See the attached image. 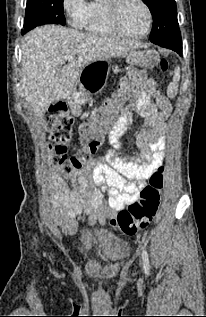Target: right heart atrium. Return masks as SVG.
Here are the masks:
<instances>
[{
    "instance_id": "1",
    "label": "right heart atrium",
    "mask_w": 206,
    "mask_h": 317,
    "mask_svg": "<svg viewBox=\"0 0 206 317\" xmlns=\"http://www.w3.org/2000/svg\"><path fill=\"white\" fill-rule=\"evenodd\" d=\"M62 7L69 23L74 27H81L87 13L88 2L86 0H62Z\"/></svg>"
}]
</instances>
